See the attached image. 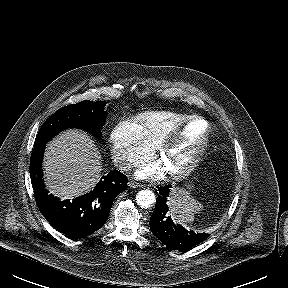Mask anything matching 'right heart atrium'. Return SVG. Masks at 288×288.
Instances as JSON below:
<instances>
[{"label": "right heart atrium", "instance_id": "right-heart-atrium-1", "mask_svg": "<svg viewBox=\"0 0 288 288\" xmlns=\"http://www.w3.org/2000/svg\"><path fill=\"white\" fill-rule=\"evenodd\" d=\"M111 147L114 160L122 169L148 160L154 151L139 124L132 119L115 125L111 132Z\"/></svg>", "mask_w": 288, "mask_h": 288}]
</instances>
